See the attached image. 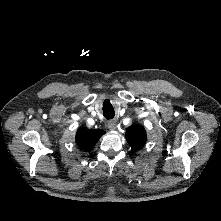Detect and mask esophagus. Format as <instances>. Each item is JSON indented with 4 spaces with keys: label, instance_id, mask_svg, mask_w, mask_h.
<instances>
[{
    "label": "esophagus",
    "instance_id": "obj_1",
    "mask_svg": "<svg viewBox=\"0 0 221 221\" xmlns=\"http://www.w3.org/2000/svg\"><path fill=\"white\" fill-rule=\"evenodd\" d=\"M107 126H108L109 130H111V131L116 130V127H117L116 121L110 120V121L108 122V125H107Z\"/></svg>",
    "mask_w": 221,
    "mask_h": 221
}]
</instances>
